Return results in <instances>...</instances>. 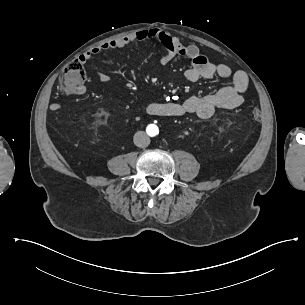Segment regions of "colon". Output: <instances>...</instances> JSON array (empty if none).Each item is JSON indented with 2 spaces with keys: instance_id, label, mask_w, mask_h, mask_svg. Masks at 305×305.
<instances>
[{
  "instance_id": "1",
  "label": "colon",
  "mask_w": 305,
  "mask_h": 305,
  "mask_svg": "<svg viewBox=\"0 0 305 305\" xmlns=\"http://www.w3.org/2000/svg\"><path fill=\"white\" fill-rule=\"evenodd\" d=\"M63 73V78L57 85L60 93L74 95L85 86L86 72L81 62L77 60L67 62L63 68ZM251 114L254 120H260V111L258 109H253Z\"/></svg>"
}]
</instances>
